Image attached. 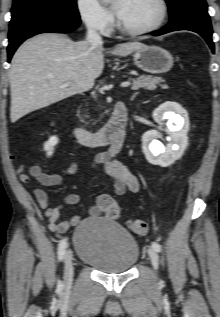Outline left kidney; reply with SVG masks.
Instances as JSON below:
<instances>
[{
    "label": "left kidney",
    "instance_id": "5707ae66",
    "mask_svg": "<svg viewBox=\"0 0 220 317\" xmlns=\"http://www.w3.org/2000/svg\"><path fill=\"white\" fill-rule=\"evenodd\" d=\"M153 119L162 125L167 120L166 132L171 142L164 146L156 140L159 132L147 131L142 136V148L148 162L162 167L179 159L188 145L189 119L187 112L176 102L167 101L153 111Z\"/></svg>",
    "mask_w": 220,
    "mask_h": 317
}]
</instances>
